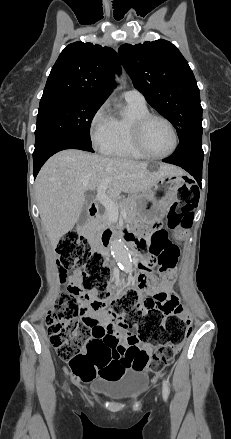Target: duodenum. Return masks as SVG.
I'll use <instances>...</instances> for the list:
<instances>
[{
    "label": "duodenum",
    "mask_w": 231,
    "mask_h": 439,
    "mask_svg": "<svg viewBox=\"0 0 231 439\" xmlns=\"http://www.w3.org/2000/svg\"><path fill=\"white\" fill-rule=\"evenodd\" d=\"M96 213H97V206H96V204H95V203H90V204H89V214H90L91 221L94 220V218H95V216H96ZM82 229H85V227H83ZM129 234H130V233H126V234H124V238H125V240H126L128 243H134V241L131 240ZM114 235H115V232H114V231H111V230H109V229H105V230L101 233L100 238H99V241H100V245H101V247H102V248H107V247H108V244H109V242H110V240H111V238H112Z\"/></svg>",
    "instance_id": "duodenum-1"
}]
</instances>
